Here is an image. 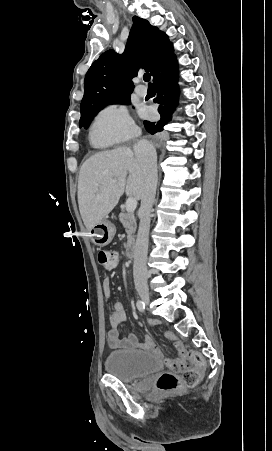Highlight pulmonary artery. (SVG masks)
<instances>
[{"label":"pulmonary artery","mask_w":272,"mask_h":451,"mask_svg":"<svg viewBox=\"0 0 272 451\" xmlns=\"http://www.w3.org/2000/svg\"><path fill=\"white\" fill-rule=\"evenodd\" d=\"M135 89H136L135 92H136V94H137L139 97H145V96H146V93H147V92L144 90L145 88H144L143 85L139 84V85L136 86Z\"/></svg>","instance_id":"obj_1"}]
</instances>
